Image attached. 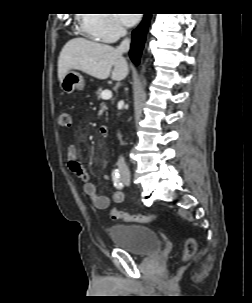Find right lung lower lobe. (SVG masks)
I'll return each mask as SVG.
<instances>
[{"label": "right lung lower lobe", "mask_w": 252, "mask_h": 303, "mask_svg": "<svg viewBox=\"0 0 252 303\" xmlns=\"http://www.w3.org/2000/svg\"><path fill=\"white\" fill-rule=\"evenodd\" d=\"M150 17V14H145L142 23L132 33V43L129 55L133 63L136 65H138L140 61V55L144 46Z\"/></svg>", "instance_id": "98d812e1"}]
</instances>
